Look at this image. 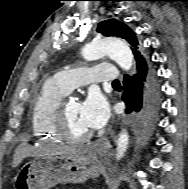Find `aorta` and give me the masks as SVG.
Here are the masks:
<instances>
[{
	"mask_svg": "<svg viewBox=\"0 0 188 189\" xmlns=\"http://www.w3.org/2000/svg\"><path fill=\"white\" fill-rule=\"evenodd\" d=\"M88 61L97 60L105 55L113 59L122 69L130 70L133 65V54L127 43L118 38L106 37L95 40L82 50ZM129 134L123 130L117 141L116 159L120 160L128 149Z\"/></svg>",
	"mask_w": 188,
	"mask_h": 189,
	"instance_id": "obj_1",
	"label": "aorta"
}]
</instances>
